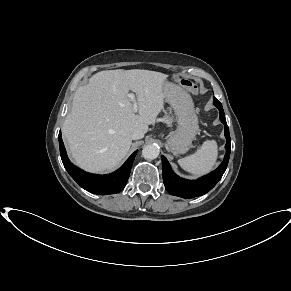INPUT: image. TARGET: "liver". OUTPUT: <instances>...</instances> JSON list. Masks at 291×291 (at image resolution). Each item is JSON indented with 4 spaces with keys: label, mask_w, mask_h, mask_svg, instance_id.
<instances>
[{
    "label": "liver",
    "mask_w": 291,
    "mask_h": 291,
    "mask_svg": "<svg viewBox=\"0 0 291 291\" xmlns=\"http://www.w3.org/2000/svg\"><path fill=\"white\" fill-rule=\"evenodd\" d=\"M167 75L149 70H109L92 76L74 95L62 133L75 163L89 172L116 168L134 130L148 132L164 108ZM129 90L136 93L138 115Z\"/></svg>",
    "instance_id": "1"
}]
</instances>
